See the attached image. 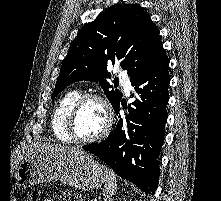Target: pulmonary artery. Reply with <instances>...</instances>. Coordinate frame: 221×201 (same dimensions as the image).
<instances>
[{
    "mask_svg": "<svg viewBox=\"0 0 221 201\" xmlns=\"http://www.w3.org/2000/svg\"><path fill=\"white\" fill-rule=\"evenodd\" d=\"M119 79H120L121 83L123 84L126 92H128L130 90L131 86H130V82H129L127 74L124 72H120Z\"/></svg>",
    "mask_w": 221,
    "mask_h": 201,
    "instance_id": "e3ab8cb5",
    "label": "pulmonary artery"
}]
</instances>
